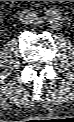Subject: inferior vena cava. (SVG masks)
Listing matches in <instances>:
<instances>
[{
  "label": "inferior vena cava",
  "mask_w": 74,
  "mask_h": 122,
  "mask_svg": "<svg viewBox=\"0 0 74 122\" xmlns=\"http://www.w3.org/2000/svg\"><path fill=\"white\" fill-rule=\"evenodd\" d=\"M34 15L33 12H31L30 10H24L22 11V13L20 14V20L22 22H25V23H29V18L30 16Z\"/></svg>",
  "instance_id": "602c4592"
}]
</instances>
